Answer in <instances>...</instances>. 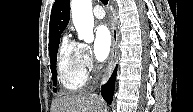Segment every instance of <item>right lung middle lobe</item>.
I'll return each mask as SVG.
<instances>
[{
	"label": "right lung middle lobe",
	"instance_id": "dd1d6c3e",
	"mask_svg": "<svg viewBox=\"0 0 193 112\" xmlns=\"http://www.w3.org/2000/svg\"><path fill=\"white\" fill-rule=\"evenodd\" d=\"M60 36L55 40V42L49 47V56L51 62V72L53 77V85L56 86L57 84V70H56V61H57V52L59 47ZM55 92L56 89H53Z\"/></svg>",
	"mask_w": 193,
	"mask_h": 112
}]
</instances>
